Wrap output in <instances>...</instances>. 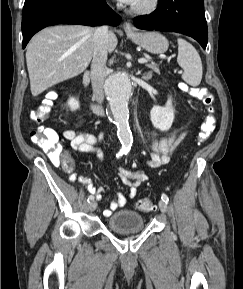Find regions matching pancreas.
I'll use <instances>...</instances> for the list:
<instances>
[{
  "label": "pancreas",
  "instance_id": "obj_1",
  "mask_svg": "<svg viewBox=\"0 0 243 289\" xmlns=\"http://www.w3.org/2000/svg\"><path fill=\"white\" fill-rule=\"evenodd\" d=\"M147 67L151 68L154 72H156L157 74H160L158 65L154 62L148 63Z\"/></svg>",
  "mask_w": 243,
  "mask_h": 289
}]
</instances>
